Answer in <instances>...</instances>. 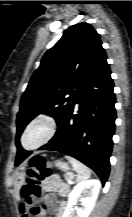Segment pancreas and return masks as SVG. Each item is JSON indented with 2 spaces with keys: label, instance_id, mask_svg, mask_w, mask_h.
<instances>
[{
  "label": "pancreas",
  "instance_id": "obj_1",
  "mask_svg": "<svg viewBox=\"0 0 132 217\" xmlns=\"http://www.w3.org/2000/svg\"><path fill=\"white\" fill-rule=\"evenodd\" d=\"M71 179H73V175L72 174H70V173H68V174H66L65 175V180H71Z\"/></svg>",
  "mask_w": 132,
  "mask_h": 217
}]
</instances>
